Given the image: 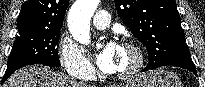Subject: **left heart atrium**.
<instances>
[{
  "mask_svg": "<svg viewBox=\"0 0 205 87\" xmlns=\"http://www.w3.org/2000/svg\"><path fill=\"white\" fill-rule=\"evenodd\" d=\"M120 46L115 43L108 44L97 57L99 68L104 72H115L116 58L119 53Z\"/></svg>",
  "mask_w": 205,
  "mask_h": 87,
  "instance_id": "left-heart-atrium-1",
  "label": "left heart atrium"
}]
</instances>
